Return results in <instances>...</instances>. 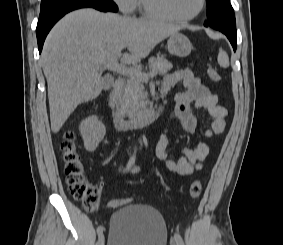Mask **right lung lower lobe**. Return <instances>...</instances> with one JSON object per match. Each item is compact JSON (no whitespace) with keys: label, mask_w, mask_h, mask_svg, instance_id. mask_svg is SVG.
Here are the masks:
<instances>
[{"label":"right lung lower lobe","mask_w":283,"mask_h":245,"mask_svg":"<svg viewBox=\"0 0 283 245\" xmlns=\"http://www.w3.org/2000/svg\"><path fill=\"white\" fill-rule=\"evenodd\" d=\"M87 7L103 12L118 11L117 5L112 0H74L42 10L36 28L39 53L42 51L43 43L48 32L61 17L70 11Z\"/></svg>","instance_id":"1"}]
</instances>
